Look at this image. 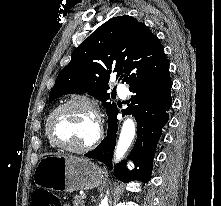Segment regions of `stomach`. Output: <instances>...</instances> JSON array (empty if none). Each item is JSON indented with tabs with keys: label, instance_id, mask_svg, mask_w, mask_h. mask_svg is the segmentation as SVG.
I'll use <instances>...</instances> for the list:
<instances>
[{
	"label": "stomach",
	"instance_id": "0dacf381",
	"mask_svg": "<svg viewBox=\"0 0 221 206\" xmlns=\"http://www.w3.org/2000/svg\"><path fill=\"white\" fill-rule=\"evenodd\" d=\"M33 179L37 187L74 192L98 187L103 172L88 159L58 154L42 158L35 168Z\"/></svg>",
	"mask_w": 221,
	"mask_h": 206
}]
</instances>
